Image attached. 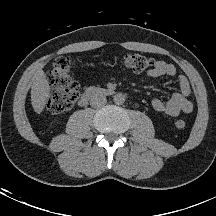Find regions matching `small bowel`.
Returning <instances> with one entry per match:
<instances>
[{
  "mask_svg": "<svg viewBox=\"0 0 216 216\" xmlns=\"http://www.w3.org/2000/svg\"><path fill=\"white\" fill-rule=\"evenodd\" d=\"M176 67L163 60H157V65L150 69L147 74L150 77H173L176 75ZM179 90L174 92L168 101L155 98L152 100V107L155 111L163 112L170 116H178L181 113H190L193 110V103L189 100L191 85L184 75L177 78Z\"/></svg>",
  "mask_w": 216,
  "mask_h": 216,
  "instance_id": "obj_1",
  "label": "small bowel"
}]
</instances>
